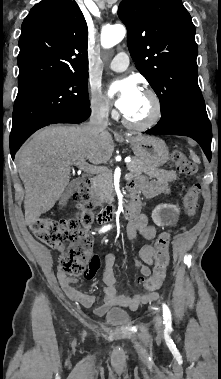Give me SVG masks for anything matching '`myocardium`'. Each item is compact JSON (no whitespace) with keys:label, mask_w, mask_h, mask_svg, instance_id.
<instances>
[{"label":"myocardium","mask_w":221,"mask_h":379,"mask_svg":"<svg viewBox=\"0 0 221 379\" xmlns=\"http://www.w3.org/2000/svg\"><path fill=\"white\" fill-rule=\"evenodd\" d=\"M143 94L147 96L152 103V111L149 117L143 121H132L125 115L123 116V123L133 129L146 130L155 126L162 116V103L158 94L152 89H145Z\"/></svg>","instance_id":"myocardium-1"}]
</instances>
